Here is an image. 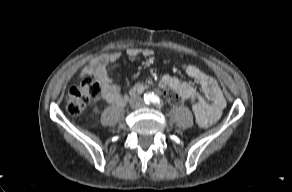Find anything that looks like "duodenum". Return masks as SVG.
<instances>
[{
    "mask_svg": "<svg viewBox=\"0 0 292 192\" xmlns=\"http://www.w3.org/2000/svg\"><path fill=\"white\" fill-rule=\"evenodd\" d=\"M143 89H144L143 85L138 84L131 90L130 95H135L137 93H140L142 92Z\"/></svg>",
    "mask_w": 292,
    "mask_h": 192,
    "instance_id": "obj_1",
    "label": "duodenum"
}]
</instances>
